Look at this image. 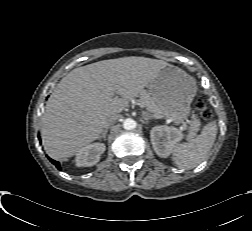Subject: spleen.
<instances>
[{"label": "spleen", "mask_w": 252, "mask_h": 231, "mask_svg": "<svg viewBox=\"0 0 252 231\" xmlns=\"http://www.w3.org/2000/svg\"><path fill=\"white\" fill-rule=\"evenodd\" d=\"M217 130L216 122L211 121L196 138L175 145L172 149L174 164L180 169H192L200 164L212 148Z\"/></svg>", "instance_id": "spleen-1"}]
</instances>
